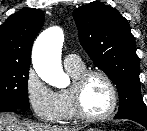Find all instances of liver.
<instances>
[{
  "instance_id": "6515ba94",
  "label": "liver",
  "mask_w": 147,
  "mask_h": 131,
  "mask_svg": "<svg viewBox=\"0 0 147 131\" xmlns=\"http://www.w3.org/2000/svg\"><path fill=\"white\" fill-rule=\"evenodd\" d=\"M80 129L81 127L22 122L13 114L0 113V131H79Z\"/></svg>"
}]
</instances>
